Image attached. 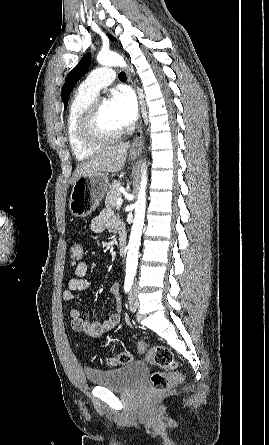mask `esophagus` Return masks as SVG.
Masks as SVG:
<instances>
[{"instance_id": "1", "label": "esophagus", "mask_w": 269, "mask_h": 445, "mask_svg": "<svg viewBox=\"0 0 269 445\" xmlns=\"http://www.w3.org/2000/svg\"><path fill=\"white\" fill-rule=\"evenodd\" d=\"M129 80L131 81L130 76H129ZM136 91L138 93L140 108H141V112H142L143 108H144L143 100H142V97H141V94H140L139 90L136 89ZM142 137H143V131H142V124L140 122L139 128L137 130V133H136L135 138H134L133 143H132V149L133 150L137 149V148H139L141 146V144H142Z\"/></svg>"}]
</instances>
